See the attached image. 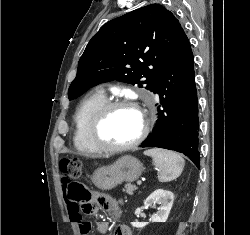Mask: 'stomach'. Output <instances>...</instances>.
I'll return each instance as SVG.
<instances>
[{"mask_svg":"<svg viewBox=\"0 0 250 235\" xmlns=\"http://www.w3.org/2000/svg\"><path fill=\"white\" fill-rule=\"evenodd\" d=\"M142 172V163L131 155H125L109 166L98 168L92 181L100 190L109 191L123 182L137 180Z\"/></svg>","mask_w":250,"mask_h":235,"instance_id":"obj_1","label":"stomach"}]
</instances>
